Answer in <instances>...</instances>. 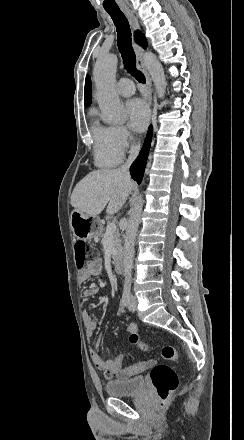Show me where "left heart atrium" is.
<instances>
[{"label": "left heart atrium", "instance_id": "obj_1", "mask_svg": "<svg viewBox=\"0 0 244 440\" xmlns=\"http://www.w3.org/2000/svg\"><path fill=\"white\" fill-rule=\"evenodd\" d=\"M129 124L136 131H143L149 121V110L141 99H132L127 104Z\"/></svg>", "mask_w": 244, "mask_h": 440}]
</instances>
